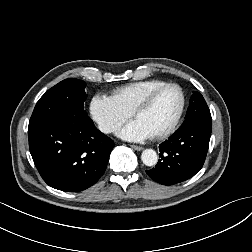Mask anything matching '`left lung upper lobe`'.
I'll use <instances>...</instances> for the list:
<instances>
[{"label": "left lung upper lobe", "mask_w": 252, "mask_h": 252, "mask_svg": "<svg viewBox=\"0 0 252 252\" xmlns=\"http://www.w3.org/2000/svg\"><path fill=\"white\" fill-rule=\"evenodd\" d=\"M197 121L211 122L212 119L209 108L203 96L198 92H193L185 121L183 122L182 126Z\"/></svg>", "instance_id": "5c2ea615"}]
</instances>
